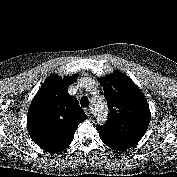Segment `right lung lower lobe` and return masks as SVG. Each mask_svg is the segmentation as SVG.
Here are the masks:
<instances>
[{"instance_id": "98d812e1", "label": "right lung lower lobe", "mask_w": 177, "mask_h": 177, "mask_svg": "<svg viewBox=\"0 0 177 177\" xmlns=\"http://www.w3.org/2000/svg\"><path fill=\"white\" fill-rule=\"evenodd\" d=\"M40 147L44 149L45 151L52 152V153H55V152L58 153L55 147H52V145H42V146L40 145Z\"/></svg>"}]
</instances>
